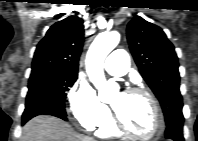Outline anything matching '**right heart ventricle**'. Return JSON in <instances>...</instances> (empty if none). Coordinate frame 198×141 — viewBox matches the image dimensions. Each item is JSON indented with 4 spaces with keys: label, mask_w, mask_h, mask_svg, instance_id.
<instances>
[{
    "label": "right heart ventricle",
    "mask_w": 198,
    "mask_h": 141,
    "mask_svg": "<svg viewBox=\"0 0 198 141\" xmlns=\"http://www.w3.org/2000/svg\"><path fill=\"white\" fill-rule=\"evenodd\" d=\"M97 134L102 137H113L118 136L119 131L114 126L113 121L109 118L98 127Z\"/></svg>",
    "instance_id": "obj_1"
}]
</instances>
